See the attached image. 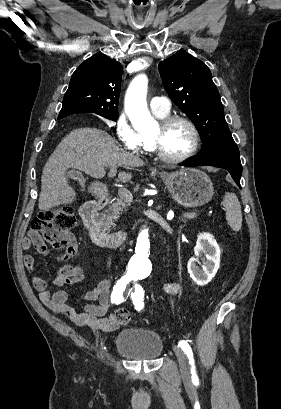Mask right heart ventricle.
Here are the masks:
<instances>
[{
  "label": "right heart ventricle",
  "mask_w": 281,
  "mask_h": 409,
  "mask_svg": "<svg viewBox=\"0 0 281 409\" xmlns=\"http://www.w3.org/2000/svg\"><path fill=\"white\" fill-rule=\"evenodd\" d=\"M155 114L158 118H161V119L166 116V114H159V113H155ZM136 149L149 151L145 135H139V143Z\"/></svg>",
  "instance_id": "obj_1"
}]
</instances>
